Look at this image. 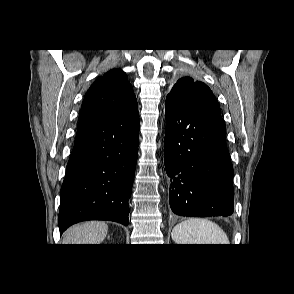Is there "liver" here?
<instances>
[{
	"mask_svg": "<svg viewBox=\"0 0 294 294\" xmlns=\"http://www.w3.org/2000/svg\"><path fill=\"white\" fill-rule=\"evenodd\" d=\"M108 225L102 221H88L70 227L63 236V244H100L106 237Z\"/></svg>",
	"mask_w": 294,
	"mask_h": 294,
	"instance_id": "6515ba94",
	"label": "liver"
}]
</instances>
